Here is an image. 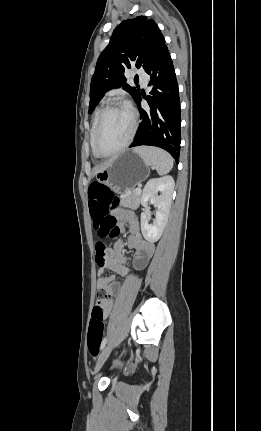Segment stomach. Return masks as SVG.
<instances>
[{"label": "stomach", "instance_id": "1", "mask_svg": "<svg viewBox=\"0 0 261 431\" xmlns=\"http://www.w3.org/2000/svg\"><path fill=\"white\" fill-rule=\"evenodd\" d=\"M149 175V165L134 149L117 155L111 163L96 173L99 183L115 192L129 191Z\"/></svg>", "mask_w": 261, "mask_h": 431}]
</instances>
